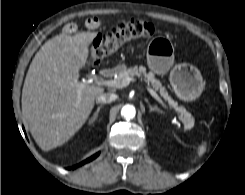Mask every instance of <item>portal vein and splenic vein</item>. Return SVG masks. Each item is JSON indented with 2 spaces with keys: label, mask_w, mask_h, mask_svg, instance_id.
<instances>
[{
  "label": "portal vein and splenic vein",
  "mask_w": 245,
  "mask_h": 195,
  "mask_svg": "<svg viewBox=\"0 0 245 195\" xmlns=\"http://www.w3.org/2000/svg\"><path fill=\"white\" fill-rule=\"evenodd\" d=\"M134 78L131 77H126L122 84L120 85L115 79L114 80H96L93 81L88 80L86 82V84H92V83H96L97 85H104V86H110V87H116V88H122L127 86L131 81H134ZM147 91L151 94L152 97H154L164 108H167L166 104L163 102V100L159 97V95L149 86H146Z\"/></svg>",
  "instance_id": "obj_1"
}]
</instances>
